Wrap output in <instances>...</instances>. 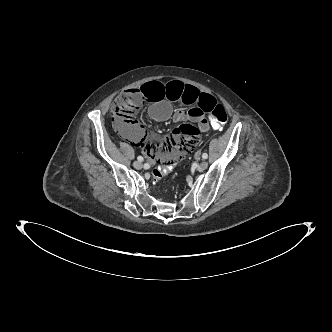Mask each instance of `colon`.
Listing matches in <instances>:
<instances>
[{
	"instance_id": "obj_1",
	"label": "colon",
	"mask_w": 332,
	"mask_h": 332,
	"mask_svg": "<svg viewBox=\"0 0 332 332\" xmlns=\"http://www.w3.org/2000/svg\"><path fill=\"white\" fill-rule=\"evenodd\" d=\"M143 104L144 99L140 95V90L133 89L120 94L115 99L111 110L116 128L118 130H132L135 125L134 116L142 108ZM208 112L211 124L215 128H221L226 124L227 112L221 104L215 103ZM178 166L179 161L176 158H171L168 164L160 162L152 169L153 178L161 180Z\"/></svg>"
}]
</instances>
